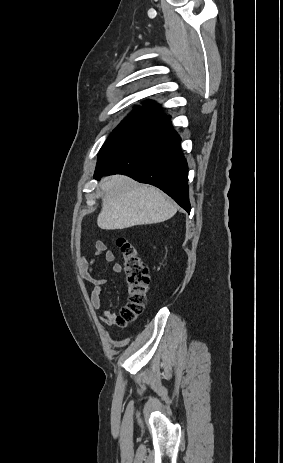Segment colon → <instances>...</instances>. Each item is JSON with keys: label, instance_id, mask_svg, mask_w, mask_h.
Here are the masks:
<instances>
[{"label": "colon", "instance_id": "obj_1", "mask_svg": "<svg viewBox=\"0 0 283 463\" xmlns=\"http://www.w3.org/2000/svg\"><path fill=\"white\" fill-rule=\"evenodd\" d=\"M122 255L127 303L117 315L116 322L124 326L135 321L143 312L150 289L149 271L135 247L129 240L120 236L116 240Z\"/></svg>", "mask_w": 283, "mask_h": 463}]
</instances>
